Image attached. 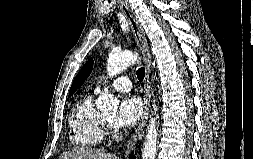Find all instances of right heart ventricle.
Returning a JSON list of instances; mask_svg holds the SVG:
<instances>
[{"label":"right heart ventricle","mask_w":253,"mask_h":159,"mask_svg":"<svg viewBox=\"0 0 253 159\" xmlns=\"http://www.w3.org/2000/svg\"><path fill=\"white\" fill-rule=\"evenodd\" d=\"M103 116L93 105V94L81 99L69 115V139L76 147L89 149L103 142Z\"/></svg>","instance_id":"1"}]
</instances>
